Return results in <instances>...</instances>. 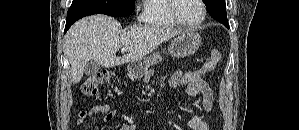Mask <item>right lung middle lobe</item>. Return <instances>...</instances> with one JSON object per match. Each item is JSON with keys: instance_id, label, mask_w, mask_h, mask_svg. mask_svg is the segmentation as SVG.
I'll list each match as a JSON object with an SVG mask.
<instances>
[{"instance_id": "right-lung-middle-lobe-1", "label": "right lung middle lobe", "mask_w": 299, "mask_h": 130, "mask_svg": "<svg viewBox=\"0 0 299 130\" xmlns=\"http://www.w3.org/2000/svg\"><path fill=\"white\" fill-rule=\"evenodd\" d=\"M135 0H73L69 11H90L110 16H129Z\"/></svg>"}]
</instances>
